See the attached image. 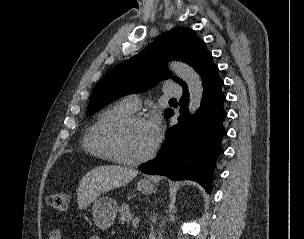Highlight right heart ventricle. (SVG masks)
<instances>
[{"label": "right heart ventricle", "instance_id": "e07e8e85", "mask_svg": "<svg viewBox=\"0 0 304 239\" xmlns=\"http://www.w3.org/2000/svg\"><path fill=\"white\" fill-rule=\"evenodd\" d=\"M133 112L134 110L129 108L123 101L102 110L88 126L84 134L82 140L83 149L100 159L115 161L106 140V131L115 120Z\"/></svg>", "mask_w": 304, "mask_h": 239}]
</instances>
